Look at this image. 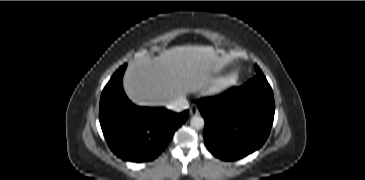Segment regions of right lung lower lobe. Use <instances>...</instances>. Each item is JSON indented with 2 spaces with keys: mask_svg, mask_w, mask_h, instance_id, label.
<instances>
[{
  "mask_svg": "<svg viewBox=\"0 0 365 180\" xmlns=\"http://www.w3.org/2000/svg\"><path fill=\"white\" fill-rule=\"evenodd\" d=\"M127 64L120 67L104 87L99 120L104 137L114 154L132 162L151 161L167 146L189 111L174 113L165 108L133 105L122 87Z\"/></svg>",
  "mask_w": 365,
  "mask_h": 180,
  "instance_id": "obj_1",
  "label": "right lung lower lobe"
}]
</instances>
